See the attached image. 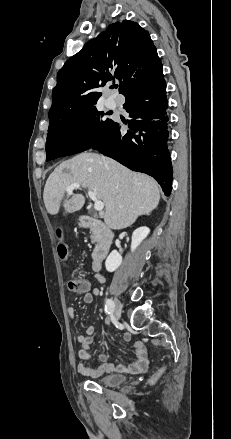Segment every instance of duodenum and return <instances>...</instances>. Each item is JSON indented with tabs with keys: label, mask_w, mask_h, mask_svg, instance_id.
Here are the masks:
<instances>
[{
	"label": "duodenum",
	"mask_w": 231,
	"mask_h": 439,
	"mask_svg": "<svg viewBox=\"0 0 231 439\" xmlns=\"http://www.w3.org/2000/svg\"><path fill=\"white\" fill-rule=\"evenodd\" d=\"M80 224L84 228L93 230L99 237V242L92 252V269L99 271L112 245L113 232L101 220L87 215L80 218Z\"/></svg>",
	"instance_id": "obj_1"
}]
</instances>
